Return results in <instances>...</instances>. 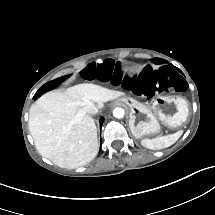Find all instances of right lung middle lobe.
Masks as SVG:
<instances>
[{"instance_id": "dd1d6c3e", "label": "right lung middle lobe", "mask_w": 215, "mask_h": 215, "mask_svg": "<svg viewBox=\"0 0 215 215\" xmlns=\"http://www.w3.org/2000/svg\"><path fill=\"white\" fill-rule=\"evenodd\" d=\"M68 76H63L60 78H57L53 81L47 82L46 84H44L34 95V98L37 99L39 98L42 94H44L45 92L55 88L57 85H59L63 80H65Z\"/></svg>"}]
</instances>
